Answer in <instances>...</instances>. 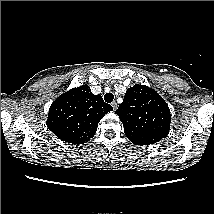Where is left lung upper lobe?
I'll return each instance as SVG.
<instances>
[{"instance_id": "5c2ea615", "label": "left lung upper lobe", "mask_w": 214, "mask_h": 214, "mask_svg": "<svg viewBox=\"0 0 214 214\" xmlns=\"http://www.w3.org/2000/svg\"><path fill=\"white\" fill-rule=\"evenodd\" d=\"M115 113L124 125L126 137L136 145L156 143L169 133L170 109L164 99L146 85L128 88Z\"/></svg>"}]
</instances>
